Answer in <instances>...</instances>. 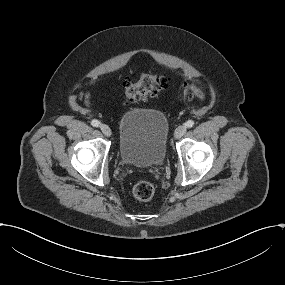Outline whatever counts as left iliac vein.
<instances>
[{
	"instance_id": "left-iliac-vein-1",
	"label": "left iliac vein",
	"mask_w": 285,
	"mask_h": 285,
	"mask_svg": "<svg viewBox=\"0 0 285 285\" xmlns=\"http://www.w3.org/2000/svg\"><path fill=\"white\" fill-rule=\"evenodd\" d=\"M186 132V127L183 125H180L176 128L175 132H174V138L177 140L179 138H181Z\"/></svg>"
}]
</instances>
